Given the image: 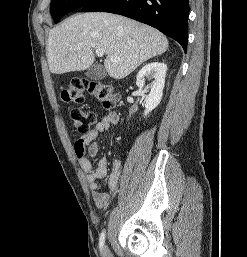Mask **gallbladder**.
I'll use <instances>...</instances> for the list:
<instances>
[{
  "instance_id": "gallbladder-1",
  "label": "gallbladder",
  "mask_w": 247,
  "mask_h": 257,
  "mask_svg": "<svg viewBox=\"0 0 247 257\" xmlns=\"http://www.w3.org/2000/svg\"><path fill=\"white\" fill-rule=\"evenodd\" d=\"M86 77L91 80H101L104 79L107 75L106 70L101 64H93L86 71Z\"/></svg>"
}]
</instances>
